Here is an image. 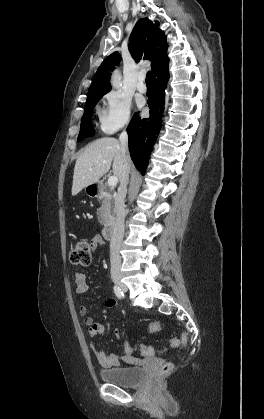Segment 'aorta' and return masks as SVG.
Masks as SVG:
<instances>
[{"label":"aorta","instance_id":"1","mask_svg":"<svg viewBox=\"0 0 264 419\" xmlns=\"http://www.w3.org/2000/svg\"><path fill=\"white\" fill-rule=\"evenodd\" d=\"M122 76L119 70H115L111 77V85L114 89H119L122 85Z\"/></svg>","mask_w":264,"mask_h":419}]
</instances>
